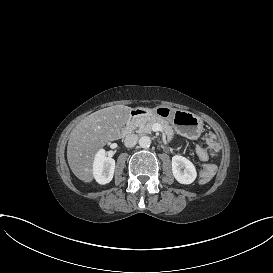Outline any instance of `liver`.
Listing matches in <instances>:
<instances>
[{"instance_id":"6515ba94","label":"liver","mask_w":273,"mask_h":273,"mask_svg":"<svg viewBox=\"0 0 273 273\" xmlns=\"http://www.w3.org/2000/svg\"><path fill=\"white\" fill-rule=\"evenodd\" d=\"M131 110L126 105L103 108L82 119L72 130L67 161L80 181L91 183L94 180L93 164L97 152L108 142L122 137L121 128L130 119Z\"/></svg>"}]
</instances>
